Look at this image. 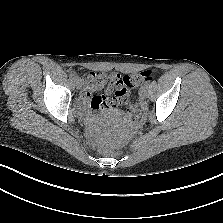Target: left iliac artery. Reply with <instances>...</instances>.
I'll return each mask as SVG.
<instances>
[{
    "label": "left iliac artery",
    "instance_id": "obj_1",
    "mask_svg": "<svg viewBox=\"0 0 223 223\" xmlns=\"http://www.w3.org/2000/svg\"><path fill=\"white\" fill-rule=\"evenodd\" d=\"M148 85H149V83H148V82H146V83H145V87H147Z\"/></svg>",
    "mask_w": 223,
    "mask_h": 223
}]
</instances>
